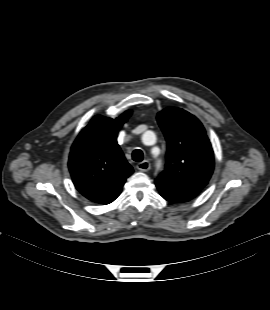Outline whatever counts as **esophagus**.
I'll use <instances>...</instances> for the list:
<instances>
[{
	"instance_id": "1",
	"label": "esophagus",
	"mask_w": 270,
	"mask_h": 310,
	"mask_svg": "<svg viewBox=\"0 0 270 310\" xmlns=\"http://www.w3.org/2000/svg\"><path fill=\"white\" fill-rule=\"evenodd\" d=\"M151 165L148 161H142L137 164V169L143 172H146L150 169Z\"/></svg>"
}]
</instances>
